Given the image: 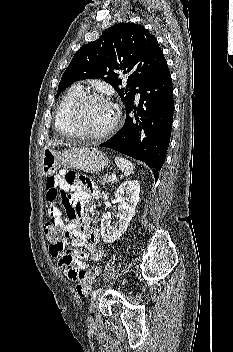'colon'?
Masks as SVG:
<instances>
[{"label": "colon", "mask_w": 233, "mask_h": 352, "mask_svg": "<svg viewBox=\"0 0 233 352\" xmlns=\"http://www.w3.org/2000/svg\"><path fill=\"white\" fill-rule=\"evenodd\" d=\"M46 238L52 244H58L63 247L66 244V235L63 230L50 222L45 224L44 228ZM100 272V267H94L88 271H80L77 274L76 291L80 297H86L90 293L93 283Z\"/></svg>", "instance_id": "1"}]
</instances>
